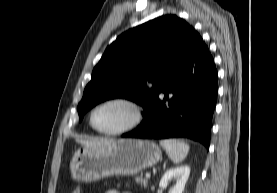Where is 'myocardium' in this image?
Here are the masks:
<instances>
[{
	"label": "myocardium",
	"mask_w": 277,
	"mask_h": 193,
	"mask_svg": "<svg viewBox=\"0 0 277 193\" xmlns=\"http://www.w3.org/2000/svg\"><path fill=\"white\" fill-rule=\"evenodd\" d=\"M111 103H120V104L129 106L133 110V119L128 125L120 128V129L113 130V131L101 130V129L97 128L93 122L94 113L101 106L111 104ZM143 117H144L143 107L141 106V104L139 102H137L136 100H134L130 97L115 96V97L106 98L93 106V108L91 109L90 114H89V124L93 130H95L96 132H98L100 134L107 135V136H118V135L126 134V133L131 132L134 129H136L142 123Z\"/></svg>",
	"instance_id": "f54148a6"
}]
</instances>
